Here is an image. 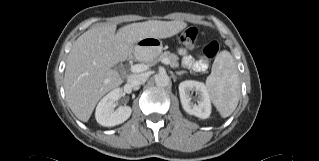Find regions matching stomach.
I'll use <instances>...</instances> for the list:
<instances>
[{"mask_svg": "<svg viewBox=\"0 0 319 161\" xmlns=\"http://www.w3.org/2000/svg\"><path fill=\"white\" fill-rule=\"evenodd\" d=\"M163 49L159 38L148 37L139 40L134 46V55L140 61H152Z\"/></svg>", "mask_w": 319, "mask_h": 161, "instance_id": "0dacf381", "label": "stomach"}]
</instances>
